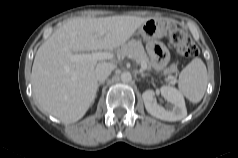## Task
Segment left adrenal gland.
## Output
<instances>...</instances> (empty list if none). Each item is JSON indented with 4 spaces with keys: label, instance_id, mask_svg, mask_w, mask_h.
Wrapping results in <instances>:
<instances>
[{
    "label": "left adrenal gland",
    "instance_id": "a2214340",
    "mask_svg": "<svg viewBox=\"0 0 238 158\" xmlns=\"http://www.w3.org/2000/svg\"><path fill=\"white\" fill-rule=\"evenodd\" d=\"M139 74L142 78H145L146 76H149L148 74L143 73L142 71H139Z\"/></svg>",
    "mask_w": 238,
    "mask_h": 158
}]
</instances>
